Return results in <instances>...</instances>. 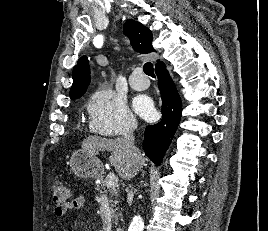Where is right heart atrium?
<instances>
[{
  "label": "right heart atrium",
  "instance_id": "1",
  "mask_svg": "<svg viewBox=\"0 0 268 231\" xmlns=\"http://www.w3.org/2000/svg\"><path fill=\"white\" fill-rule=\"evenodd\" d=\"M89 128L104 137L127 135L136 120L125 99L115 91L100 89L88 100Z\"/></svg>",
  "mask_w": 268,
  "mask_h": 231
}]
</instances>
